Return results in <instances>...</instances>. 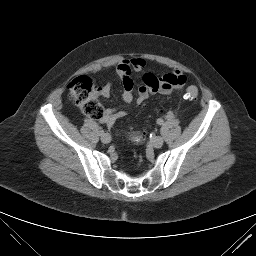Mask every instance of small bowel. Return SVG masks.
<instances>
[{
  "mask_svg": "<svg viewBox=\"0 0 256 256\" xmlns=\"http://www.w3.org/2000/svg\"><path fill=\"white\" fill-rule=\"evenodd\" d=\"M146 67L145 60L141 58H132L122 60L116 68L117 74L123 83V99L127 103L135 100L138 104L143 103L151 94L160 93L162 95H170L174 91L180 90L186 83L185 75L179 70H173L161 77H157L152 73H146L143 76V83L134 96V82L132 79V71L140 72ZM111 92V83H107L101 88V95L108 97ZM126 115L124 111L107 109L101 121L112 126L117 120Z\"/></svg>",
  "mask_w": 256,
  "mask_h": 256,
  "instance_id": "1",
  "label": "small bowel"
}]
</instances>
